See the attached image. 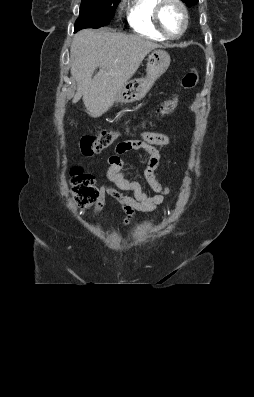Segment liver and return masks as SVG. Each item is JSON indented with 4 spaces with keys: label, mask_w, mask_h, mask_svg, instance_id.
Here are the masks:
<instances>
[{
    "label": "liver",
    "mask_w": 254,
    "mask_h": 397,
    "mask_svg": "<svg viewBox=\"0 0 254 397\" xmlns=\"http://www.w3.org/2000/svg\"><path fill=\"white\" fill-rule=\"evenodd\" d=\"M159 44L108 29L79 31L73 38L71 75L77 82L73 102L82 97L87 113L100 117L114 104L118 90L135 74L145 56ZM96 68L99 72L92 78Z\"/></svg>",
    "instance_id": "1"
}]
</instances>
